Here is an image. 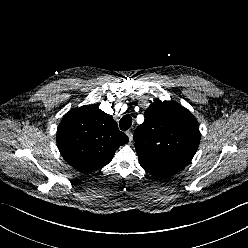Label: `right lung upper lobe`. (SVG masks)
<instances>
[{
	"label": "right lung upper lobe",
	"mask_w": 248,
	"mask_h": 248,
	"mask_svg": "<svg viewBox=\"0 0 248 248\" xmlns=\"http://www.w3.org/2000/svg\"><path fill=\"white\" fill-rule=\"evenodd\" d=\"M128 142L112 116L96 104L69 111L57 130L62 157L75 169L94 172L111 162L115 151Z\"/></svg>",
	"instance_id": "right-lung-upper-lobe-1"
}]
</instances>
